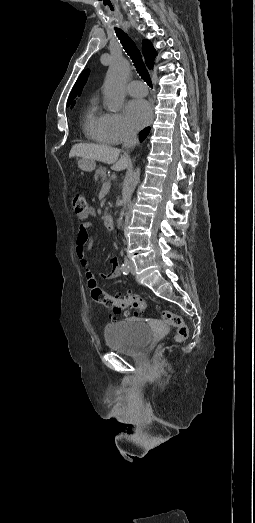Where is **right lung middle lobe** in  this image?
Wrapping results in <instances>:
<instances>
[{"mask_svg":"<svg viewBox=\"0 0 255 523\" xmlns=\"http://www.w3.org/2000/svg\"><path fill=\"white\" fill-rule=\"evenodd\" d=\"M71 104V101L67 103V105L69 106Z\"/></svg>","mask_w":255,"mask_h":523,"instance_id":"dd1d6c3e","label":"right lung middle lobe"}]
</instances>
